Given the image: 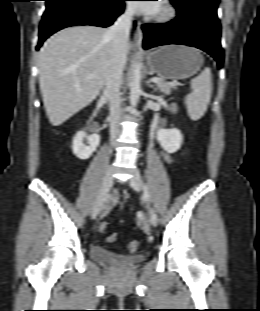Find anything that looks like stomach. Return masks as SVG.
Masks as SVG:
<instances>
[{"label": "stomach", "mask_w": 260, "mask_h": 311, "mask_svg": "<svg viewBox=\"0 0 260 311\" xmlns=\"http://www.w3.org/2000/svg\"><path fill=\"white\" fill-rule=\"evenodd\" d=\"M151 71L163 79H185L196 74L204 59L195 48L184 45H167L147 54Z\"/></svg>", "instance_id": "obj_1"}]
</instances>
